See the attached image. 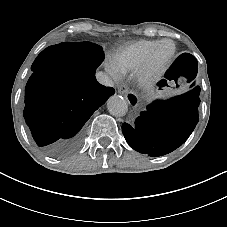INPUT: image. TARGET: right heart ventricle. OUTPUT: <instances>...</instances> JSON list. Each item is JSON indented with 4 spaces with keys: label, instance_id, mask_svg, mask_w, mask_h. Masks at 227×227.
Listing matches in <instances>:
<instances>
[{
    "label": "right heart ventricle",
    "instance_id": "obj_1",
    "mask_svg": "<svg viewBox=\"0 0 227 227\" xmlns=\"http://www.w3.org/2000/svg\"><path fill=\"white\" fill-rule=\"evenodd\" d=\"M162 40H138L126 42L114 53L112 63L123 71H131L142 66L152 55Z\"/></svg>",
    "mask_w": 227,
    "mask_h": 227
}]
</instances>
